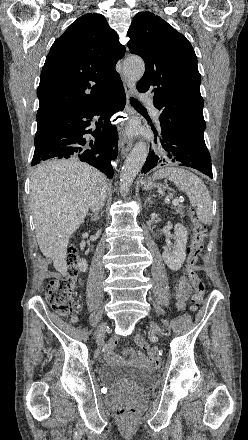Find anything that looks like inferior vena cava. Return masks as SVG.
I'll return each instance as SVG.
<instances>
[{
    "label": "inferior vena cava",
    "instance_id": "1",
    "mask_svg": "<svg viewBox=\"0 0 248 440\" xmlns=\"http://www.w3.org/2000/svg\"><path fill=\"white\" fill-rule=\"evenodd\" d=\"M106 200V184L102 182L94 192L90 204L91 211L95 214L102 210Z\"/></svg>",
    "mask_w": 248,
    "mask_h": 440
}]
</instances>
